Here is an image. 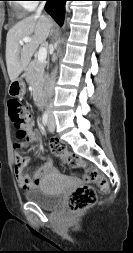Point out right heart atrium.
I'll return each instance as SVG.
<instances>
[{"instance_id": "right-heart-atrium-1", "label": "right heart atrium", "mask_w": 133, "mask_h": 253, "mask_svg": "<svg viewBox=\"0 0 133 253\" xmlns=\"http://www.w3.org/2000/svg\"><path fill=\"white\" fill-rule=\"evenodd\" d=\"M22 4L26 10H31L36 6V0H24Z\"/></svg>"}]
</instances>
